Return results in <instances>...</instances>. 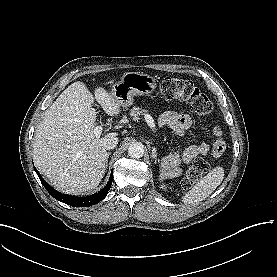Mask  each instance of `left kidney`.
Instances as JSON below:
<instances>
[{
    "label": "left kidney",
    "instance_id": "5707ae66",
    "mask_svg": "<svg viewBox=\"0 0 277 277\" xmlns=\"http://www.w3.org/2000/svg\"><path fill=\"white\" fill-rule=\"evenodd\" d=\"M161 180L164 179V178H167V177H171L173 176V172L171 170H167L166 169V165L165 163H162V170H161Z\"/></svg>",
    "mask_w": 277,
    "mask_h": 277
}]
</instances>
